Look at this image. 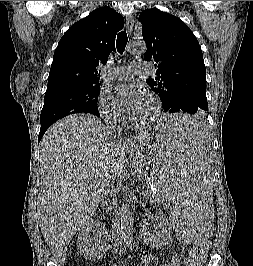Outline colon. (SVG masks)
Returning <instances> with one entry per match:
<instances>
[{"instance_id": "5ec220e1", "label": "colon", "mask_w": 253, "mask_h": 266, "mask_svg": "<svg viewBox=\"0 0 253 266\" xmlns=\"http://www.w3.org/2000/svg\"><path fill=\"white\" fill-rule=\"evenodd\" d=\"M210 242H204L203 248H190L188 256L184 260V266H200L207 256Z\"/></svg>"}]
</instances>
